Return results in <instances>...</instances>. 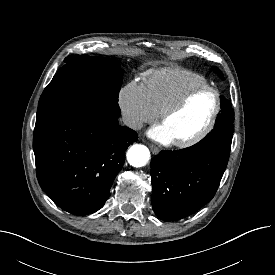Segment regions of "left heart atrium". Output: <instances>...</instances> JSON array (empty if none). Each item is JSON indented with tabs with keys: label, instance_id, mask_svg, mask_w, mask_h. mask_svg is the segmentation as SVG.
<instances>
[{
	"label": "left heart atrium",
	"instance_id": "39dd6f15",
	"mask_svg": "<svg viewBox=\"0 0 275 275\" xmlns=\"http://www.w3.org/2000/svg\"><path fill=\"white\" fill-rule=\"evenodd\" d=\"M148 134L151 138L162 143H170L171 141H173L172 137L163 125L155 126L149 131Z\"/></svg>",
	"mask_w": 275,
	"mask_h": 275
}]
</instances>
